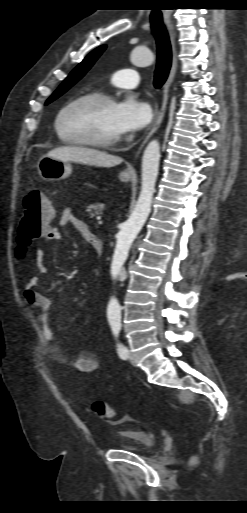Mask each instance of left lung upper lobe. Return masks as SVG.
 Here are the masks:
<instances>
[{
    "mask_svg": "<svg viewBox=\"0 0 247 513\" xmlns=\"http://www.w3.org/2000/svg\"><path fill=\"white\" fill-rule=\"evenodd\" d=\"M106 45H102L93 50L87 57L70 73V75L63 81L59 88L52 94V96L46 101L45 105L51 103L62 94H64L70 87H72L77 81H79L85 73L92 67L95 61L105 50Z\"/></svg>",
    "mask_w": 247,
    "mask_h": 513,
    "instance_id": "obj_1",
    "label": "left lung upper lobe"
}]
</instances>
